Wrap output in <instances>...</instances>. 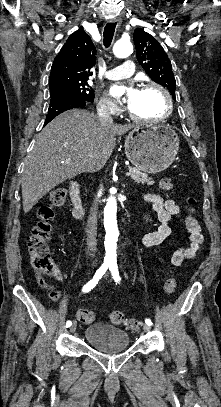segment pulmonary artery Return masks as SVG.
<instances>
[{
  "label": "pulmonary artery",
  "mask_w": 221,
  "mask_h": 407,
  "mask_svg": "<svg viewBox=\"0 0 221 407\" xmlns=\"http://www.w3.org/2000/svg\"><path fill=\"white\" fill-rule=\"evenodd\" d=\"M135 65L130 58H126L122 65L109 69L105 73L107 79L115 80L125 78L133 74Z\"/></svg>",
  "instance_id": "1"
}]
</instances>
